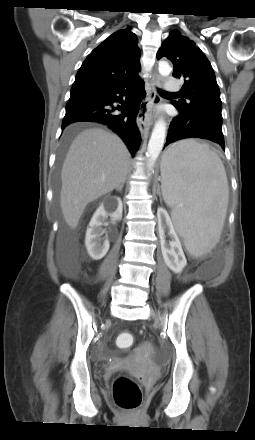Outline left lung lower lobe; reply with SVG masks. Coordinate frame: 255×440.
<instances>
[{
  "mask_svg": "<svg viewBox=\"0 0 255 440\" xmlns=\"http://www.w3.org/2000/svg\"><path fill=\"white\" fill-rule=\"evenodd\" d=\"M185 138L207 139L219 144L224 150L222 118L211 114L179 111V115L171 121L165 146Z\"/></svg>",
  "mask_w": 255,
  "mask_h": 440,
  "instance_id": "0a47b994",
  "label": "left lung lower lobe"
}]
</instances>
